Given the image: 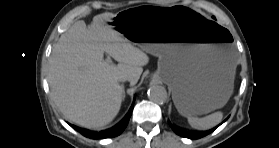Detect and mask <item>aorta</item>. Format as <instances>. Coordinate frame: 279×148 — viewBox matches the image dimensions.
Instances as JSON below:
<instances>
[{"instance_id":"obj_1","label":"aorta","mask_w":279,"mask_h":148,"mask_svg":"<svg viewBox=\"0 0 279 148\" xmlns=\"http://www.w3.org/2000/svg\"><path fill=\"white\" fill-rule=\"evenodd\" d=\"M148 98L157 104H163L167 100V91L163 86L153 85L148 90Z\"/></svg>"}]
</instances>
